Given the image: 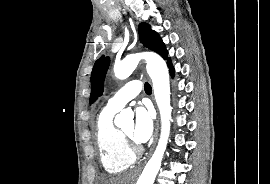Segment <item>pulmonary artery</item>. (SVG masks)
<instances>
[{"label": "pulmonary artery", "instance_id": "1", "mask_svg": "<svg viewBox=\"0 0 270 184\" xmlns=\"http://www.w3.org/2000/svg\"><path fill=\"white\" fill-rule=\"evenodd\" d=\"M141 90L142 83L139 80L130 81L108 100L106 107L118 111L135 98Z\"/></svg>", "mask_w": 270, "mask_h": 184}]
</instances>
